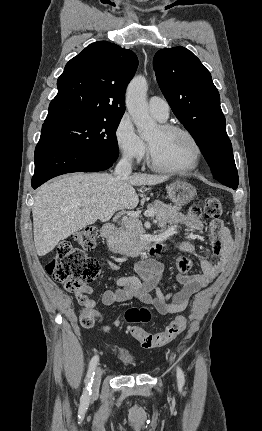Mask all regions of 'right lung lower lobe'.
I'll list each match as a JSON object with an SVG mask.
<instances>
[{"label": "right lung lower lobe", "mask_w": 262, "mask_h": 431, "mask_svg": "<svg viewBox=\"0 0 262 431\" xmlns=\"http://www.w3.org/2000/svg\"><path fill=\"white\" fill-rule=\"evenodd\" d=\"M34 160L35 172L31 182L34 189L55 176L71 172L102 171L116 161L81 147L48 141L38 142Z\"/></svg>", "instance_id": "1"}]
</instances>
